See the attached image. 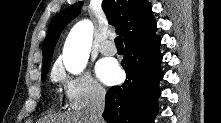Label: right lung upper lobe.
<instances>
[{
    "mask_svg": "<svg viewBox=\"0 0 221 123\" xmlns=\"http://www.w3.org/2000/svg\"><path fill=\"white\" fill-rule=\"evenodd\" d=\"M82 2L64 9L51 21L43 44V67L51 63L53 51L64 27L79 13ZM151 4L147 0H103L102 9L110 25L118 34L130 41L146 37L156 30Z\"/></svg>",
    "mask_w": 221,
    "mask_h": 123,
    "instance_id": "1",
    "label": "right lung upper lobe"
}]
</instances>
